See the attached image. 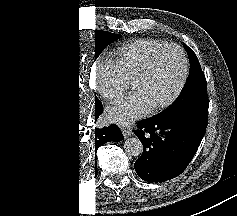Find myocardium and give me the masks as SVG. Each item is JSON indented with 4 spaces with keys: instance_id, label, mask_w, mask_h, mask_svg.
Instances as JSON below:
<instances>
[{
    "instance_id": "myocardium-1",
    "label": "myocardium",
    "mask_w": 237,
    "mask_h": 216,
    "mask_svg": "<svg viewBox=\"0 0 237 216\" xmlns=\"http://www.w3.org/2000/svg\"><path fill=\"white\" fill-rule=\"evenodd\" d=\"M171 59L175 62V81L168 92H166L163 96L156 99V103H152L151 101H144L147 105H157L160 108L165 107L170 102L176 100L180 97L185 88L186 83L188 81V70H189V62L185 54L176 48H164L162 51L157 52L156 55L152 58V60L145 65L140 72L136 73L132 78L129 87L130 96H136V87L139 84V81L147 74H151L154 70L165 60Z\"/></svg>"
}]
</instances>
